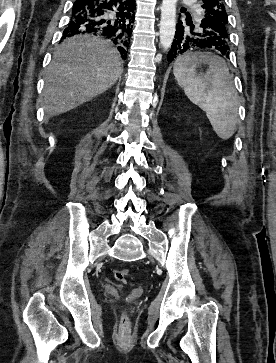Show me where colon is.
Segmentation results:
<instances>
[{
    "label": "colon",
    "instance_id": "obj_1",
    "mask_svg": "<svg viewBox=\"0 0 276 363\" xmlns=\"http://www.w3.org/2000/svg\"><path fill=\"white\" fill-rule=\"evenodd\" d=\"M113 274L117 281H119L121 283H125L127 276L129 274V271L127 269H116V270H114ZM121 322H122V325L125 326L127 324V317L123 316Z\"/></svg>",
    "mask_w": 276,
    "mask_h": 363
}]
</instances>
